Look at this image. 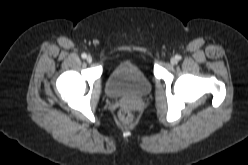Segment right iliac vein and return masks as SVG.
Listing matches in <instances>:
<instances>
[{"label":"right iliac vein","mask_w":248,"mask_h":165,"mask_svg":"<svg viewBox=\"0 0 248 165\" xmlns=\"http://www.w3.org/2000/svg\"><path fill=\"white\" fill-rule=\"evenodd\" d=\"M86 60H87L88 63H91L92 62V57L89 55V56L86 57Z\"/></svg>","instance_id":"1"}]
</instances>
